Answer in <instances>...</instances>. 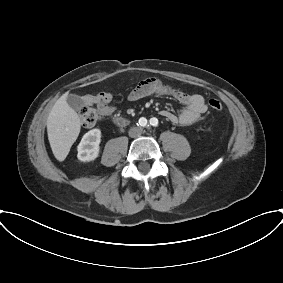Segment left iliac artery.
<instances>
[{
	"instance_id": "obj_1",
	"label": "left iliac artery",
	"mask_w": 283,
	"mask_h": 283,
	"mask_svg": "<svg viewBox=\"0 0 283 283\" xmlns=\"http://www.w3.org/2000/svg\"><path fill=\"white\" fill-rule=\"evenodd\" d=\"M150 124L154 127H157L158 126V119L157 118H151Z\"/></svg>"
}]
</instances>
